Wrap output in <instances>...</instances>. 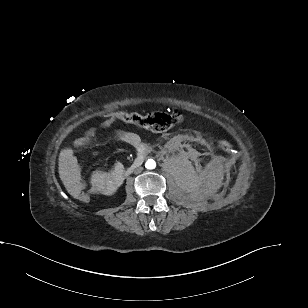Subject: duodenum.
I'll return each mask as SVG.
<instances>
[{"label": "duodenum", "instance_id": "410a0bca", "mask_svg": "<svg viewBox=\"0 0 308 308\" xmlns=\"http://www.w3.org/2000/svg\"><path fill=\"white\" fill-rule=\"evenodd\" d=\"M146 150L141 149L138 153L137 158L134 160V162L121 174V180H123L125 177L129 176L133 170L137 167H139L143 162V156L145 154Z\"/></svg>", "mask_w": 308, "mask_h": 308}]
</instances>
